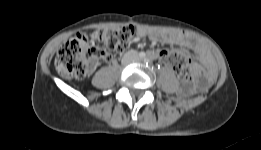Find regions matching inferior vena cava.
Segmentation results:
<instances>
[{"label":"inferior vena cava","mask_w":261,"mask_h":150,"mask_svg":"<svg viewBox=\"0 0 261 150\" xmlns=\"http://www.w3.org/2000/svg\"><path fill=\"white\" fill-rule=\"evenodd\" d=\"M125 56L130 59H137L138 53L135 50H130Z\"/></svg>","instance_id":"602c4592"}]
</instances>
